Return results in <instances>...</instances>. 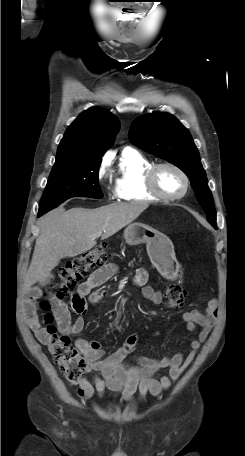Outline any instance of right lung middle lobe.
Wrapping results in <instances>:
<instances>
[{
    "label": "right lung middle lobe",
    "mask_w": 245,
    "mask_h": 456,
    "mask_svg": "<svg viewBox=\"0 0 245 456\" xmlns=\"http://www.w3.org/2000/svg\"><path fill=\"white\" fill-rule=\"evenodd\" d=\"M101 159H73L55 163L39 213L44 214L72 197H103L98 184Z\"/></svg>",
    "instance_id": "right-lung-middle-lobe-1"
}]
</instances>
